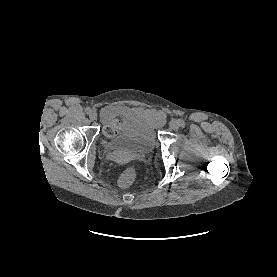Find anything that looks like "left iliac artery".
<instances>
[{
	"instance_id": "1",
	"label": "left iliac artery",
	"mask_w": 277,
	"mask_h": 277,
	"mask_svg": "<svg viewBox=\"0 0 277 277\" xmlns=\"http://www.w3.org/2000/svg\"><path fill=\"white\" fill-rule=\"evenodd\" d=\"M179 122H180V126H181V127H184V126H185V121H184L183 119H180Z\"/></svg>"
}]
</instances>
